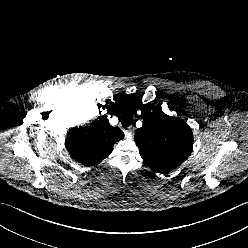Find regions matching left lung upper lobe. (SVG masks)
Segmentation results:
<instances>
[{
    "label": "left lung upper lobe",
    "instance_id": "1",
    "mask_svg": "<svg viewBox=\"0 0 248 248\" xmlns=\"http://www.w3.org/2000/svg\"><path fill=\"white\" fill-rule=\"evenodd\" d=\"M144 162L155 172L166 173L183 163L193 146L192 130L183 120L156 109L144 116L135 132Z\"/></svg>",
    "mask_w": 248,
    "mask_h": 248
}]
</instances>
